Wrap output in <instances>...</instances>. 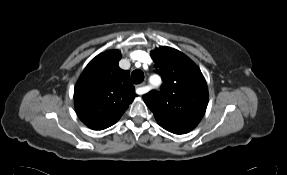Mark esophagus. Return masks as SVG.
<instances>
[{
	"instance_id": "34e87169",
	"label": "esophagus",
	"mask_w": 287,
	"mask_h": 175,
	"mask_svg": "<svg viewBox=\"0 0 287 175\" xmlns=\"http://www.w3.org/2000/svg\"><path fill=\"white\" fill-rule=\"evenodd\" d=\"M144 86H145V83H141V84L137 85L138 94H140V95L144 94V92H145Z\"/></svg>"
}]
</instances>
